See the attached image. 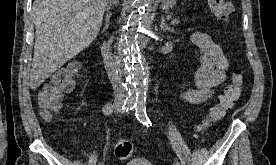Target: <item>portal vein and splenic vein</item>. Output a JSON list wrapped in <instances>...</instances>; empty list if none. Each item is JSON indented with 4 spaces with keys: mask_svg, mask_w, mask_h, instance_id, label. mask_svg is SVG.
Returning <instances> with one entry per match:
<instances>
[{
    "mask_svg": "<svg viewBox=\"0 0 276 165\" xmlns=\"http://www.w3.org/2000/svg\"><path fill=\"white\" fill-rule=\"evenodd\" d=\"M178 23H179V20H178V19L172 20V24H178Z\"/></svg>",
    "mask_w": 276,
    "mask_h": 165,
    "instance_id": "obj_1",
    "label": "portal vein and splenic vein"
}]
</instances>
